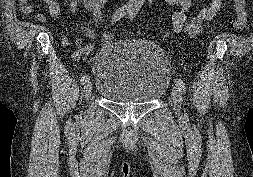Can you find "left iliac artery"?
Segmentation results:
<instances>
[{"label":"left iliac artery","mask_w":253,"mask_h":177,"mask_svg":"<svg viewBox=\"0 0 253 177\" xmlns=\"http://www.w3.org/2000/svg\"><path fill=\"white\" fill-rule=\"evenodd\" d=\"M137 11H138V8H134L133 10H131L129 12V19L130 20H132L135 17ZM174 81H175V84L178 87L179 91H182L185 93L186 86H185V83L183 82V80H181L180 78H176Z\"/></svg>","instance_id":"left-iliac-artery-1"}]
</instances>
